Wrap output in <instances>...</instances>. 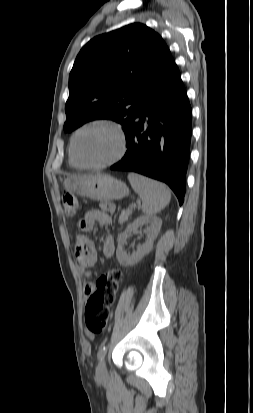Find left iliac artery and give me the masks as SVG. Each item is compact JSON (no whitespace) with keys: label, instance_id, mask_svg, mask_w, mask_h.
I'll return each instance as SVG.
<instances>
[{"label":"left iliac artery","instance_id":"44dca946","mask_svg":"<svg viewBox=\"0 0 253 413\" xmlns=\"http://www.w3.org/2000/svg\"><path fill=\"white\" fill-rule=\"evenodd\" d=\"M106 351H107V348H106L105 345L102 348H100V350L98 352V359H100V360L103 359L104 356L106 355Z\"/></svg>","mask_w":253,"mask_h":413}]
</instances>
